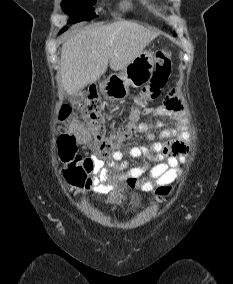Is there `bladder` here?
<instances>
[{"label": "bladder", "instance_id": "obj_1", "mask_svg": "<svg viewBox=\"0 0 233 284\" xmlns=\"http://www.w3.org/2000/svg\"><path fill=\"white\" fill-rule=\"evenodd\" d=\"M142 207V198L140 195L136 193H132L130 195L129 201H128V207L127 212L129 214L135 213L139 211Z\"/></svg>", "mask_w": 233, "mask_h": 284}]
</instances>
